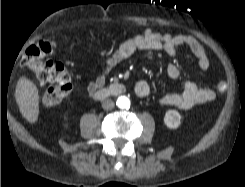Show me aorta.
<instances>
[{
    "label": "aorta",
    "mask_w": 245,
    "mask_h": 187,
    "mask_svg": "<svg viewBox=\"0 0 245 187\" xmlns=\"http://www.w3.org/2000/svg\"><path fill=\"white\" fill-rule=\"evenodd\" d=\"M116 104L121 109H128L130 107V100L126 96H120Z\"/></svg>",
    "instance_id": "aorta-1"
}]
</instances>
